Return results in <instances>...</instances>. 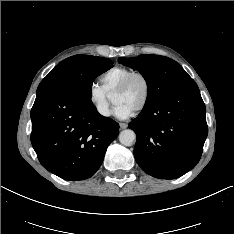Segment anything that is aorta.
<instances>
[{"label": "aorta", "mask_w": 234, "mask_h": 234, "mask_svg": "<svg viewBox=\"0 0 234 234\" xmlns=\"http://www.w3.org/2000/svg\"><path fill=\"white\" fill-rule=\"evenodd\" d=\"M136 139V135L133 130L126 129L120 132L119 141L124 146H131Z\"/></svg>", "instance_id": "1"}]
</instances>
